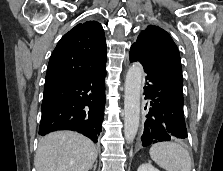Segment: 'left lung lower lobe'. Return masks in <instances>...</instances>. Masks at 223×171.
<instances>
[{"label":"left lung lower lobe","instance_id":"1","mask_svg":"<svg viewBox=\"0 0 223 171\" xmlns=\"http://www.w3.org/2000/svg\"><path fill=\"white\" fill-rule=\"evenodd\" d=\"M130 61L141 63L147 74L144 94L150 108L140 138L142 146L185 139L183 79L135 46L130 49Z\"/></svg>","mask_w":223,"mask_h":171}]
</instances>
